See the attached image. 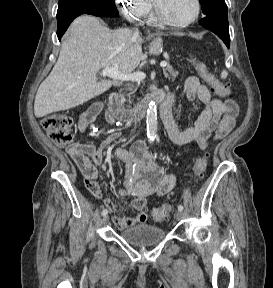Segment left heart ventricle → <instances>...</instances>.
Wrapping results in <instances>:
<instances>
[{
	"label": "left heart ventricle",
	"mask_w": 273,
	"mask_h": 288,
	"mask_svg": "<svg viewBox=\"0 0 273 288\" xmlns=\"http://www.w3.org/2000/svg\"><path fill=\"white\" fill-rule=\"evenodd\" d=\"M162 14L173 21L182 22L191 18L195 12L194 0H153Z\"/></svg>",
	"instance_id": "obj_1"
}]
</instances>
